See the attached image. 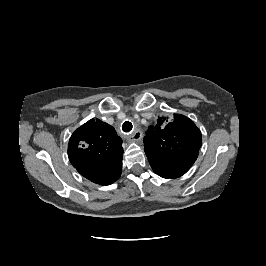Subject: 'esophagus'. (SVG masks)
Instances as JSON below:
<instances>
[{"mask_svg":"<svg viewBox=\"0 0 266 266\" xmlns=\"http://www.w3.org/2000/svg\"><path fill=\"white\" fill-rule=\"evenodd\" d=\"M131 137L133 141H140L142 139V132L140 130H136Z\"/></svg>","mask_w":266,"mask_h":266,"instance_id":"1","label":"esophagus"}]
</instances>
